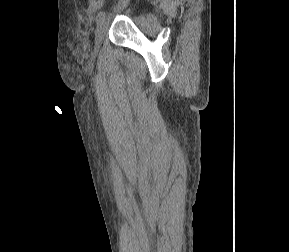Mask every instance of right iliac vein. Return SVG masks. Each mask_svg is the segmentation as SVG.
<instances>
[{"label": "right iliac vein", "mask_w": 289, "mask_h": 252, "mask_svg": "<svg viewBox=\"0 0 289 252\" xmlns=\"http://www.w3.org/2000/svg\"><path fill=\"white\" fill-rule=\"evenodd\" d=\"M127 1L122 4L121 8H125L127 6ZM107 18H104L100 23H98L96 31H95V50H99L100 48V43L102 41V38L104 36L106 26H107Z\"/></svg>", "instance_id": "63e3f726"}]
</instances>
